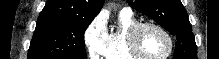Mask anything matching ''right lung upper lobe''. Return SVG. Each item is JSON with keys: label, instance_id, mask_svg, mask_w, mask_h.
<instances>
[{"label": "right lung upper lobe", "instance_id": "1", "mask_svg": "<svg viewBox=\"0 0 219 59\" xmlns=\"http://www.w3.org/2000/svg\"><path fill=\"white\" fill-rule=\"evenodd\" d=\"M103 0H47L39 17L93 20L103 6Z\"/></svg>", "mask_w": 219, "mask_h": 59}]
</instances>
